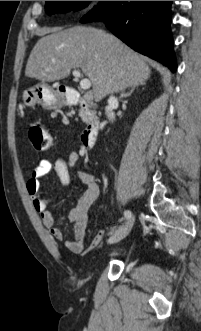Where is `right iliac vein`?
<instances>
[{"mask_svg": "<svg viewBox=\"0 0 201 331\" xmlns=\"http://www.w3.org/2000/svg\"><path fill=\"white\" fill-rule=\"evenodd\" d=\"M134 224V217H130L128 222L118 229L108 240L109 244H114L125 238L131 231Z\"/></svg>", "mask_w": 201, "mask_h": 331, "instance_id": "right-iliac-vein-1", "label": "right iliac vein"}]
</instances>
